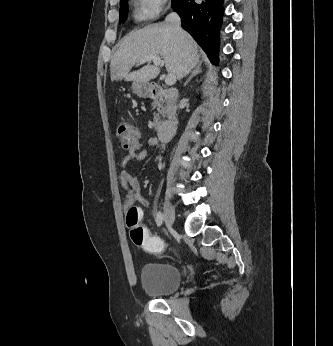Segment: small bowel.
I'll use <instances>...</instances> for the list:
<instances>
[{"mask_svg":"<svg viewBox=\"0 0 333 346\" xmlns=\"http://www.w3.org/2000/svg\"><path fill=\"white\" fill-rule=\"evenodd\" d=\"M145 145L162 149V145L156 138H149L147 141H138L136 145L129 150L127 155L123 158L122 164L127 166L134 162L142 161L146 158L148 152L144 148ZM120 182L127 189V199L125 206L128 209L130 204L134 201L141 203L143 206H149V202L140 194L141 184L140 181L127 170H123L120 174ZM143 248V247H142Z\"/></svg>","mask_w":333,"mask_h":346,"instance_id":"obj_1","label":"small bowel"}]
</instances>
